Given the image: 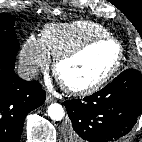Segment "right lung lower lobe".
Returning a JSON list of instances; mask_svg holds the SVG:
<instances>
[{
	"label": "right lung lower lobe",
	"instance_id": "obj_1",
	"mask_svg": "<svg viewBox=\"0 0 142 142\" xmlns=\"http://www.w3.org/2000/svg\"><path fill=\"white\" fill-rule=\"evenodd\" d=\"M14 67L0 58V142H19L25 117L45 100L40 83L19 78Z\"/></svg>",
	"mask_w": 142,
	"mask_h": 142
}]
</instances>
